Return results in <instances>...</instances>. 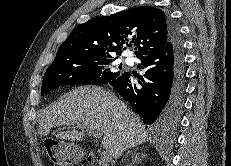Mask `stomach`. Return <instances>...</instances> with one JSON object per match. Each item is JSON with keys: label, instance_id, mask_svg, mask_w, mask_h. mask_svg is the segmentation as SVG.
Masks as SVG:
<instances>
[{"label": "stomach", "instance_id": "1", "mask_svg": "<svg viewBox=\"0 0 231 166\" xmlns=\"http://www.w3.org/2000/svg\"><path fill=\"white\" fill-rule=\"evenodd\" d=\"M44 147L51 161L60 166L77 164L84 158L82 148L73 142L50 139L49 143L44 144Z\"/></svg>", "mask_w": 231, "mask_h": 166}]
</instances>
